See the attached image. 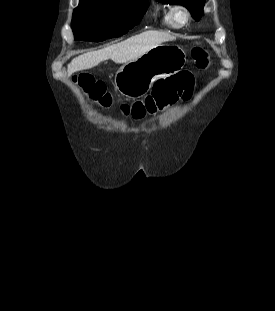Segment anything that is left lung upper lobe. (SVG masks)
<instances>
[{"instance_id": "obj_1", "label": "left lung upper lobe", "mask_w": 275, "mask_h": 311, "mask_svg": "<svg viewBox=\"0 0 275 311\" xmlns=\"http://www.w3.org/2000/svg\"><path fill=\"white\" fill-rule=\"evenodd\" d=\"M164 4H177V5H183L185 6L190 13L192 14V17L199 21L200 17L203 13V7L205 0H157Z\"/></svg>"}]
</instances>
